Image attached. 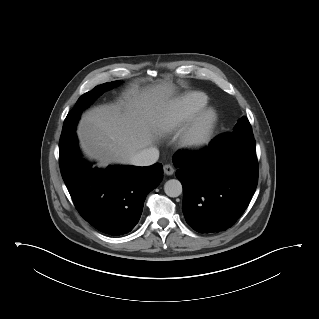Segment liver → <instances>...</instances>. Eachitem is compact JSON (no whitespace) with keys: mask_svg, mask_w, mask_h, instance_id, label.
<instances>
[{"mask_svg":"<svg viewBox=\"0 0 319 319\" xmlns=\"http://www.w3.org/2000/svg\"><path fill=\"white\" fill-rule=\"evenodd\" d=\"M173 92L171 83L142 91L133 86L118 102L87 111L77 128L81 149L99 167L129 164L136 153L151 147L169 129Z\"/></svg>","mask_w":319,"mask_h":319,"instance_id":"obj_1","label":"liver"}]
</instances>
